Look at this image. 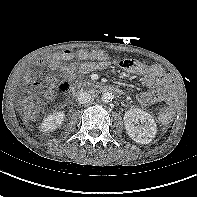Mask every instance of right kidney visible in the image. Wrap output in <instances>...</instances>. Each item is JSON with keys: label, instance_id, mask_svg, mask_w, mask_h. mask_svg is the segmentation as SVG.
<instances>
[{"label": "right kidney", "instance_id": "obj_1", "mask_svg": "<svg viewBox=\"0 0 197 197\" xmlns=\"http://www.w3.org/2000/svg\"><path fill=\"white\" fill-rule=\"evenodd\" d=\"M65 114L63 111H57L48 115L41 123L43 131H52L59 127L64 121Z\"/></svg>", "mask_w": 197, "mask_h": 197}]
</instances>
